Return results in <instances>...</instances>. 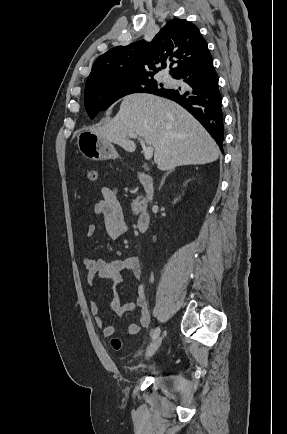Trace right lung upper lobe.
<instances>
[{
  "instance_id": "right-lung-upper-lobe-1",
  "label": "right lung upper lobe",
  "mask_w": 287,
  "mask_h": 434,
  "mask_svg": "<svg viewBox=\"0 0 287 434\" xmlns=\"http://www.w3.org/2000/svg\"><path fill=\"white\" fill-rule=\"evenodd\" d=\"M208 51L206 41L194 24L184 19H173L151 42L141 40L117 46L99 56L86 84L151 76L167 66L171 68V75L175 76Z\"/></svg>"
}]
</instances>
